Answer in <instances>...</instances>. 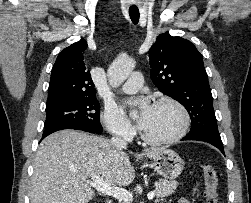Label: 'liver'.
Listing matches in <instances>:
<instances>
[{
  "mask_svg": "<svg viewBox=\"0 0 251 203\" xmlns=\"http://www.w3.org/2000/svg\"><path fill=\"white\" fill-rule=\"evenodd\" d=\"M165 148L145 150L154 158ZM99 175L111 186H128L135 178L129 156L99 136L62 130L46 137L36 152L31 203H88L95 192L87 178Z\"/></svg>",
  "mask_w": 251,
  "mask_h": 203,
  "instance_id": "obj_1",
  "label": "liver"
}]
</instances>
